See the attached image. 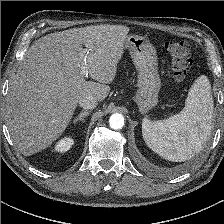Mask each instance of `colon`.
Segmentation results:
<instances>
[{
	"mask_svg": "<svg viewBox=\"0 0 224 224\" xmlns=\"http://www.w3.org/2000/svg\"><path fill=\"white\" fill-rule=\"evenodd\" d=\"M164 48L170 56L174 79L178 82L185 80L192 67L189 44L185 41H168Z\"/></svg>",
	"mask_w": 224,
	"mask_h": 224,
	"instance_id": "colon-1",
	"label": "colon"
}]
</instances>
